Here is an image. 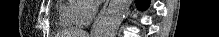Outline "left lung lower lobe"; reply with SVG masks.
Returning a JSON list of instances; mask_svg holds the SVG:
<instances>
[{
    "label": "left lung lower lobe",
    "instance_id": "1",
    "mask_svg": "<svg viewBox=\"0 0 219 37\" xmlns=\"http://www.w3.org/2000/svg\"><path fill=\"white\" fill-rule=\"evenodd\" d=\"M137 6L140 9L147 8L149 6V0H137Z\"/></svg>",
    "mask_w": 219,
    "mask_h": 37
}]
</instances>
